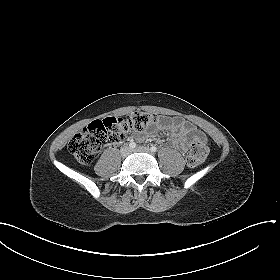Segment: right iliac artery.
Returning <instances> with one entry per match:
<instances>
[{"label": "right iliac artery", "mask_w": 280, "mask_h": 280, "mask_svg": "<svg viewBox=\"0 0 280 280\" xmlns=\"http://www.w3.org/2000/svg\"><path fill=\"white\" fill-rule=\"evenodd\" d=\"M129 147H130L131 149H134V148L136 147V143L133 142V141H131V142L129 143Z\"/></svg>", "instance_id": "right-iliac-artery-1"}]
</instances>
